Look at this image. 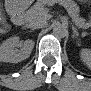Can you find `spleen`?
Instances as JSON below:
<instances>
[{
	"mask_svg": "<svg viewBox=\"0 0 91 91\" xmlns=\"http://www.w3.org/2000/svg\"><path fill=\"white\" fill-rule=\"evenodd\" d=\"M80 57L82 59V61L86 64V65H90V61H91V52L89 49H82L80 52Z\"/></svg>",
	"mask_w": 91,
	"mask_h": 91,
	"instance_id": "spleen-1",
	"label": "spleen"
}]
</instances>
